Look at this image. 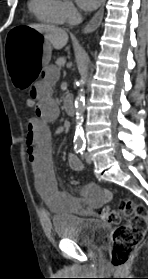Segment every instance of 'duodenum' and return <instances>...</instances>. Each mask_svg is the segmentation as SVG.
<instances>
[{
  "label": "duodenum",
  "instance_id": "410a0bca",
  "mask_svg": "<svg viewBox=\"0 0 148 279\" xmlns=\"http://www.w3.org/2000/svg\"><path fill=\"white\" fill-rule=\"evenodd\" d=\"M63 104L68 114L74 115L76 113L74 100L71 96H66L64 98Z\"/></svg>",
  "mask_w": 148,
  "mask_h": 279
}]
</instances>
